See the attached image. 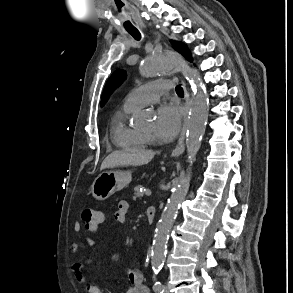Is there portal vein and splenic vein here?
Returning a JSON list of instances; mask_svg holds the SVG:
<instances>
[{"label":"portal vein and splenic vein","instance_id":"portal-vein-and-splenic-vein-1","mask_svg":"<svg viewBox=\"0 0 293 293\" xmlns=\"http://www.w3.org/2000/svg\"><path fill=\"white\" fill-rule=\"evenodd\" d=\"M145 195L146 196H151V190L150 189L145 190Z\"/></svg>","mask_w":293,"mask_h":293}]
</instances>
